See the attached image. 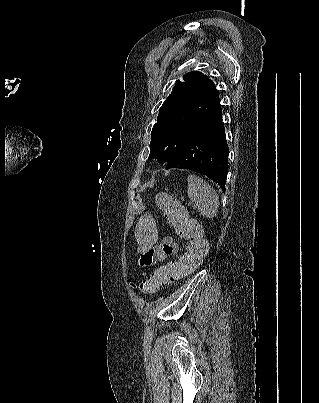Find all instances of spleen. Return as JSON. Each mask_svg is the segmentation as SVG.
Masks as SVG:
<instances>
[{
	"label": "spleen",
	"mask_w": 319,
	"mask_h": 403,
	"mask_svg": "<svg viewBox=\"0 0 319 403\" xmlns=\"http://www.w3.org/2000/svg\"><path fill=\"white\" fill-rule=\"evenodd\" d=\"M188 197L194 202L200 215L213 218L216 216L219 208V196L208 182L196 175H189Z\"/></svg>",
	"instance_id": "3e777b00"
}]
</instances>
